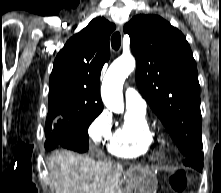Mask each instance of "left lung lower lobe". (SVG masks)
Listing matches in <instances>:
<instances>
[{"label":"left lung lower lobe","mask_w":221,"mask_h":193,"mask_svg":"<svg viewBox=\"0 0 221 193\" xmlns=\"http://www.w3.org/2000/svg\"><path fill=\"white\" fill-rule=\"evenodd\" d=\"M184 164L198 170L199 172H202L203 152L199 151L191 156L184 157Z\"/></svg>","instance_id":"0a47b994"}]
</instances>
